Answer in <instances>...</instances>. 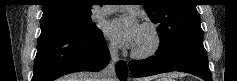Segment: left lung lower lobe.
Masks as SVG:
<instances>
[{
  "label": "left lung lower lobe",
  "mask_w": 237,
  "mask_h": 81,
  "mask_svg": "<svg viewBox=\"0 0 237 81\" xmlns=\"http://www.w3.org/2000/svg\"><path fill=\"white\" fill-rule=\"evenodd\" d=\"M129 68L134 77L181 71L212 81L203 35L189 36L167 47H159L155 56L131 61Z\"/></svg>",
  "instance_id": "0a47b994"
}]
</instances>
